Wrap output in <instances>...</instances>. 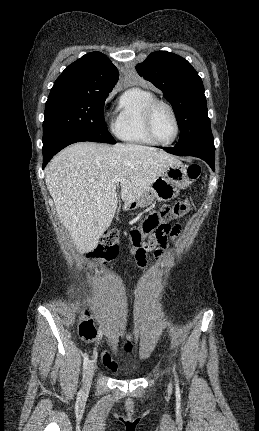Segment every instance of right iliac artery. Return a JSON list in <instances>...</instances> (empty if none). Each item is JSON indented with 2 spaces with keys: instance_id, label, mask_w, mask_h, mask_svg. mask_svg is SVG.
<instances>
[{
  "instance_id": "right-iliac-artery-1",
  "label": "right iliac artery",
  "mask_w": 259,
  "mask_h": 431,
  "mask_svg": "<svg viewBox=\"0 0 259 431\" xmlns=\"http://www.w3.org/2000/svg\"><path fill=\"white\" fill-rule=\"evenodd\" d=\"M88 362H89V358H88V355H86V356L84 357V361H83V370H84V371H85V370H86V368H87Z\"/></svg>"
}]
</instances>
